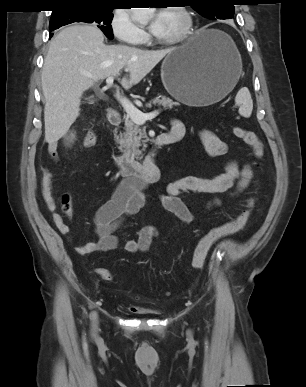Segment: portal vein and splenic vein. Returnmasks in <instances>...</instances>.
Returning <instances> with one entry per match:
<instances>
[{
    "label": "portal vein and splenic vein",
    "mask_w": 306,
    "mask_h": 387,
    "mask_svg": "<svg viewBox=\"0 0 306 387\" xmlns=\"http://www.w3.org/2000/svg\"><path fill=\"white\" fill-rule=\"evenodd\" d=\"M114 81V77H108L106 79V83L108 85H112ZM119 102L122 105L123 109L127 113V117L131 119L132 122H134L137 125L144 124L147 120L152 119L156 117L159 112L158 111H152L149 113H143L139 109H137L128 99L125 97H119Z\"/></svg>",
    "instance_id": "obj_1"
}]
</instances>
